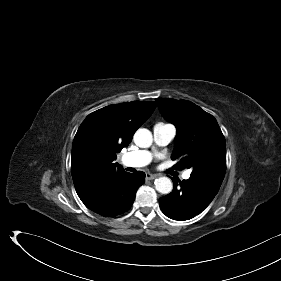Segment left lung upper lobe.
Instances as JSON below:
<instances>
[{
    "instance_id": "left-lung-upper-lobe-1",
    "label": "left lung upper lobe",
    "mask_w": 281,
    "mask_h": 281,
    "mask_svg": "<svg viewBox=\"0 0 281 281\" xmlns=\"http://www.w3.org/2000/svg\"><path fill=\"white\" fill-rule=\"evenodd\" d=\"M163 116L177 128L172 159L176 167L191 168L193 174L224 179L226 142L211 114L186 100L156 99Z\"/></svg>"
}]
</instances>
